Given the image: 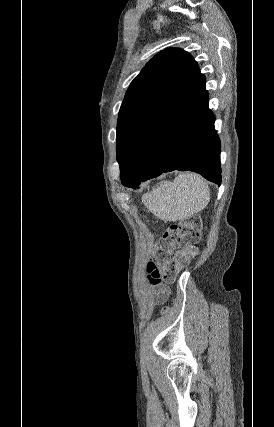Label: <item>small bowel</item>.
Wrapping results in <instances>:
<instances>
[{
    "label": "small bowel",
    "instance_id": "small-bowel-1",
    "mask_svg": "<svg viewBox=\"0 0 274 427\" xmlns=\"http://www.w3.org/2000/svg\"><path fill=\"white\" fill-rule=\"evenodd\" d=\"M177 251H161L162 256L168 257L170 254ZM169 266L170 269H167ZM185 264L183 261H171L168 265L166 261H161L158 264H151L146 266L145 270L154 273L148 277V284L151 289H155L156 294L160 300H165L168 294V288L163 284H171L173 278H177L179 275L178 270H183Z\"/></svg>",
    "mask_w": 274,
    "mask_h": 427
}]
</instances>
